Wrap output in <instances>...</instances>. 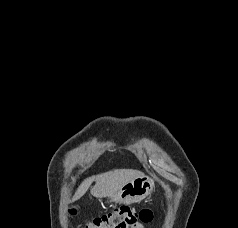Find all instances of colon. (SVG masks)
<instances>
[{
    "label": "colon",
    "instance_id": "1",
    "mask_svg": "<svg viewBox=\"0 0 238 228\" xmlns=\"http://www.w3.org/2000/svg\"><path fill=\"white\" fill-rule=\"evenodd\" d=\"M153 212L148 208L137 209L129 205H121L94 217L81 228H137L150 222Z\"/></svg>",
    "mask_w": 238,
    "mask_h": 228
}]
</instances>
